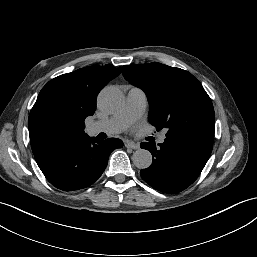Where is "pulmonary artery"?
Returning <instances> with one entry per match:
<instances>
[{"label":"pulmonary artery","instance_id":"e3ab8cb5","mask_svg":"<svg viewBox=\"0 0 257 257\" xmlns=\"http://www.w3.org/2000/svg\"><path fill=\"white\" fill-rule=\"evenodd\" d=\"M146 107V93L140 88L133 87L128 91L125 105L120 112L106 120L93 122L90 124L88 131L90 134H97L100 132L108 134L120 133L138 120L145 112ZM165 138V134L160 135L158 143H164Z\"/></svg>","mask_w":257,"mask_h":257}]
</instances>
